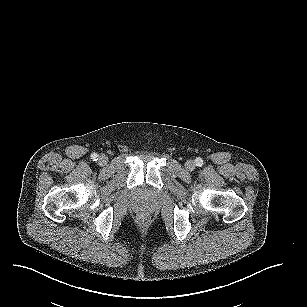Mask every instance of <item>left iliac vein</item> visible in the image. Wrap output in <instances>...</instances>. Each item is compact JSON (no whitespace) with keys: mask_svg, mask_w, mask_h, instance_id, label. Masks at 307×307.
Instances as JSON below:
<instances>
[{"mask_svg":"<svg viewBox=\"0 0 307 307\" xmlns=\"http://www.w3.org/2000/svg\"><path fill=\"white\" fill-rule=\"evenodd\" d=\"M196 165L195 162L193 160H188L185 163V168L188 171H193L195 169Z\"/></svg>","mask_w":307,"mask_h":307,"instance_id":"1","label":"left iliac vein"}]
</instances>
